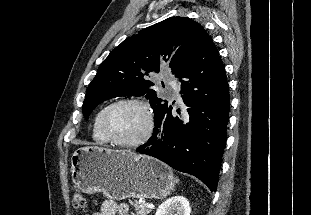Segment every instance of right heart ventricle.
I'll return each instance as SVG.
<instances>
[{
    "mask_svg": "<svg viewBox=\"0 0 311 215\" xmlns=\"http://www.w3.org/2000/svg\"><path fill=\"white\" fill-rule=\"evenodd\" d=\"M104 108H101L95 115L94 121H93V128H92V136L93 139L98 144H107L109 141L105 138V136L102 134L100 129V117L103 112Z\"/></svg>",
    "mask_w": 311,
    "mask_h": 215,
    "instance_id": "obj_1",
    "label": "right heart ventricle"
}]
</instances>
